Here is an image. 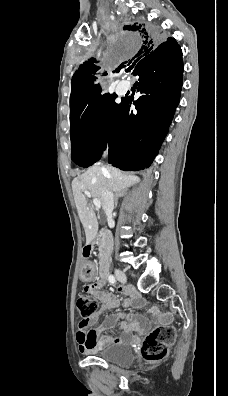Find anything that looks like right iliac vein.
<instances>
[{
    "instance_id": "right-iliac-vein-1",
    "label": "right iliac vein",
    "mask_w": 228,
    "mask_h": 396,
    "mask_svg": "<svg viewBox=\"0 0 228 396\" xmlns=\"http://www.w3.org/2000/svg\"><path fill=\"white\" fill-rule=\"evenodd\" d=\"M115 276L121 283L127 282V277H126L125 273L118 268L115 269Z\"/></svg>"
}]
</instances>
